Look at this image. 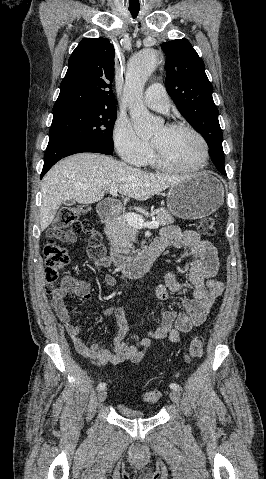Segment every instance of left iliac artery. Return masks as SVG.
<instances>
[{"instance_id": "1", "label": "left iliac artery", "mask_w": 266, "mask_h": 479, "mask_svg": "<svg viewBox=\"0 0 266 479\" xmlns=\"http://www.w3.org/2000/svg\"><path fill=\"white\" fill-rule=\"evenodd\" d=\"M170 388H171L172 390H177V391H180V390H181V387H180L178 384H176V383H171V384H170Z\"/></svg>"}]
</instances>
